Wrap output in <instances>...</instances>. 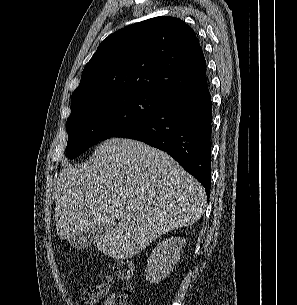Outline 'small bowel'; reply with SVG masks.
<instances>
[{"mask_svg":"<svg viewBox=\"0 0 297 305\" xmlns=\"http://www.w3.org/2000/svg\"><path fill=\"white\" fill-rule=\"evenodd\" d=\"M112 279L94 286L84 292L80 305H96L101 299L105 298L102 305H117V294L111 292Z\"/></svg>","mask_w":297,"mask_h":305,"instance_id":"c3829d8e","label":"small bowel"}]
</instances>
